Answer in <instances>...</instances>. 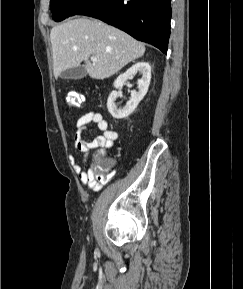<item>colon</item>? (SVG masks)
<instances>
[{
	"label": "colon",
	"mask_w": 243,
	"mask_h": 289,
	"mask_svg": "<svg viewBox=\"0 0 243 289\" xmlns=\"http://www.w3.org/2000/svg\"><path fill=\"white\" fill-rule=\"evenodd\" d=\"M66 102L70 107L80 106L84 102V96L78 91H70L66 95ZM112 167V161L104 155L95 156V170L99 173L107 172Z\"/></svg>",
	"instance_id": "5ec220e1"
}]
</instances>
